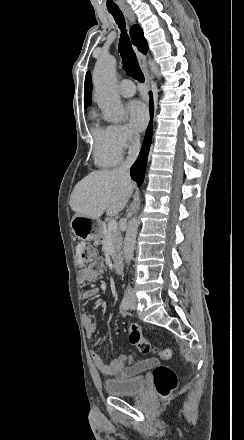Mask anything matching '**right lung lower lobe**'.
<instances>
[{"label": "right lung lower lobe", "instance_id": "1", "mask_svg": "<svg viewBox=\"0 0 244 440\" xmlns=\"http://www.w3.org/2000/svg\"><path fill=\"white\" fill-rule=\"evenodd\" d=\"M150 116L152 119L153 116V100H152V94L150 93ZM152 132H153V125L152 121H150L145 138L141 147V151L139 153L138 159L136 162L132 165L130 169L131 178L137 182L138 187L141 186L144 180L145 175V169L147 165V157L151 145V138H152Z\"/></svg>", "mask_w": 244, "mask_h": 440}]
</instances>
